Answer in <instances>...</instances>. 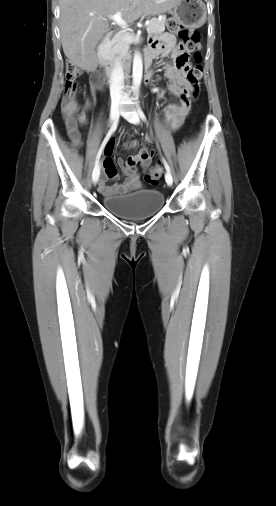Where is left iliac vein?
<instances>
[{
    "mask_svg": "<svg viewBox=\"0 0 276 506\" xmlns=\"http://www.w3.org/2000/svg\"><path fill=\"white\" fill-rule=\"evenodd\" d=\"M122 116H124L129 122L133 123V124H138L140 119H139V115L138 113L136 112V110L132 109V111L128 114H125L124 112H122ZM165 180L167 182V184L169 186L172 185L173 183V178H172V175L171 173L167 172L165 174Z\"/></svg>",
    "mask_w": 276,
    "mask_h": 506,
    "instance_id": "4c4485c4",
    "label": "left iliac vein"
}]
</instances>
